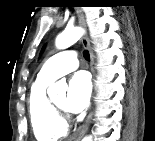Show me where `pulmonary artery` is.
I'll use <instances>...</instances> for the list:
<instances>
[{
	"label": "pulmonary artery",
	"instance_id": "obj_1",
	"mask_svg": "<svg viewBox=\"0 0 155 141\" xmlns=\"http://www.w3.org/2000/svg\"><path fill=\"white\" fill-rule=\"evenodd\" d=\"M78 65L77 54L71 49L63 50L48 59L39 72L38 78L53 81L56 78L75 70Z\"/></svg>",
	"mask_w": 155,
	"mask_h": 141
}]
</instances>
